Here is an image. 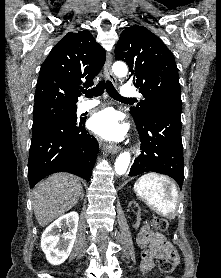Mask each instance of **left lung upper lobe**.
<instances>
[{
    "label": "left lung upper lobe",
    "mask_w": 221,
    "mask_h": 278,
    "mask_svg": "<svg viewBox=\"0 0 221 278\" xmlns=\"http://www.w3.org/2000/svg\"><path fill=\"white\" fill-rule=\"evenodd\" d=\"M115 58L129 65V77L145 98L139 107L130 110L137 123L158 112L180 116L181 90L175 59L155 34L138 25L125 28L115 47Z\"/></svg>",
    "instance_id": "left-lung-upper-lobe-1"
}]
</instances>
